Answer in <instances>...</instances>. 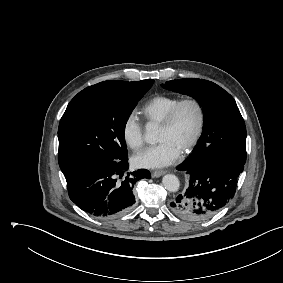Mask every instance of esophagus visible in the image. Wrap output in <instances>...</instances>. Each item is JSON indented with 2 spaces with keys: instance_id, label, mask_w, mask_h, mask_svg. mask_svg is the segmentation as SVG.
Returning <instances> with one entry per match:
<instances>
[{
  "instance_id": "34e87169",
  "label": "esophagus",
  "mask_w": 283,
  "mask_h": 283,
  "mask_svg": "<svg viewBox=\"0 0 283 283\" xmlns=\"http://www.w3.org/2000/svg\"><path fill=\"white\" fill-rule=\"evenodd\" d=\"M165 173H166V171H164V170H157V171H153L151 173V175H152V177H160Z\"/></svg>"
}]
</instances>
